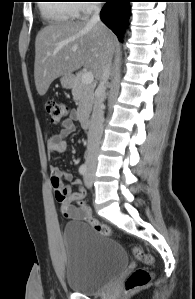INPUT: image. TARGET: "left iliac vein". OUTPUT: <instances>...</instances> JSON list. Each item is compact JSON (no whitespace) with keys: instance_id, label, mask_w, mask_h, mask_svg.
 <instances>
[{"instance_id":"1","label":"left iliac vein","mask_w":195,"mask_h":299,"mask_svg":"<svg viewBox=\"0 0 195 299\" xmlns=\"http://www.w3.org/2000/svg\"><path fill=\"white\" fill-rule=\"evenodd\" d=\"M84 183L85 185L90 188L92 186V183H93V177L91 175L90 172H88L85 177H84Z\"/></svg>"}]
</instances>
